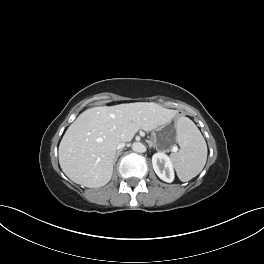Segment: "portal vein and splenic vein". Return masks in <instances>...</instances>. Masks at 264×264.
Returning <instances> with one entry per match:
<instances>
[{"instance_id":"portal-vein-and-splenic-vein-1","label":"portal vein and splenic vein","mask_w":264,"mask_h":264,"mask_svg":"<svg viewBox=\"0 0 264 264\" xmlns=\"http://www.w3.org/2000/svg\"><path fill=\"white\" fill-rule=\"evenodd\" d=\"M176 149H177L176 147L173 148V150H176Z\"/></svg>"}]
</instances>
